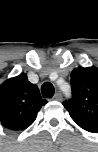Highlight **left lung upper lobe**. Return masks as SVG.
<instances>
[{
    "instance_id": "left-lung-upper-lobe-1",
    "label": "left lung upper lobe",
    "mask_w": 98,
    "mask_h": 152,
    "mask_svg": "<svg viewBox=\"0 0 98 152\" xmlns=\"http://www.w3.org/2000/svg\"><path fill=\"white\" fill-rule=\"evenodd\" d=\"M71 88L72 98L63 102L64 107L81 128L98 131V68H75Z\"/></svg>"
}]
</instances>
